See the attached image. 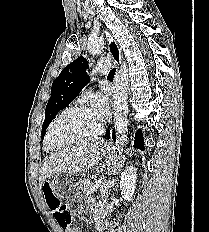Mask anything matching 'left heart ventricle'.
I'll return each mask as SVG.
<instances>
[{"label": "left heart ventricle", "mask_w": 209, "mask_h": 232, "mask_svg": "<svg viewBox=\"0 0 209 232\" xmlns=\"http://www.w3.org/2000/svg\"><path fill=\"white\" fill-rule=\"evenodd\" d=\"M100 120L92 110L71 112L62 117L52 130L51 140L55 145L85 136L96 130Z\"/></svg>", "instance_id": "left-heart-ventricle-1"}]
</instances>
